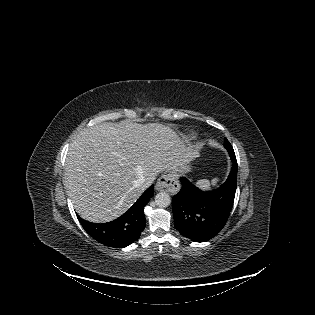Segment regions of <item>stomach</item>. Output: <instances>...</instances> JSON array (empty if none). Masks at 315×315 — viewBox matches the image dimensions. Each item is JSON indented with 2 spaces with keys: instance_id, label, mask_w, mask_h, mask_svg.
Listing matches in <instances>:
<instances>
[{
  "instance_id": "obj_1",
  "label": "stomach",
  "mask_w": 315,
  "mask_h": 315,
  "mask_svg": "<svg viewBox=\"0 0 315 315\" xmlns=\"http://www.w3.org/2000/svg\"><path fill=\"white\" fill-rule=\"evenodd\" d=\"M190 170L189 166L183 167L179 172H188Z\"/></svg>"
}]
</instances>
